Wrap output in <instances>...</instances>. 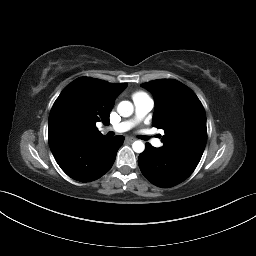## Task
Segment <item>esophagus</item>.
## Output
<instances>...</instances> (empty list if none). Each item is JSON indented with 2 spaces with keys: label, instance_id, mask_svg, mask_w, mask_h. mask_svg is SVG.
Here are the masks:
<instances>
[{
  "label": "esophagus",
  "instance_id": "esophagus-1",
  "mask_svg": "<svg viewBox=\"0 0 256 256\" xmlns=\"http://www.w3.org/2000/svg\"><path fill=\"white\" fill-rule=\"evenodd\" d=\"M126 141H127V142H134V141H135V138L127 137V138H126Z\"/></svg>",
  "mask_w": 256,
  "mask_h": 256
}]
</instances>
